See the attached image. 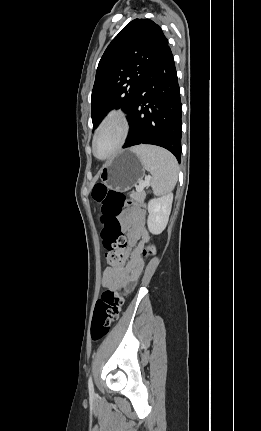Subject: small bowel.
I'll return each mask as SVG.
<instances>
[{"label":"small bowel","instance_id":"small-bowel-1","mask_svg":"<svg viewBox=\"0 0 261 431\" xmlns=\"http://www.w3.org/2000/svg\"><path fill=\"white\" fill-rule=\"evenodd\" d=\"M144 211L138 207L125 210L120 223L127 231L128 248L126 256L129 260L118 266H108L102 274V285L111 290H118L127 285H134L143 271V249L149 241V234L144 225ZM137 247L132 250V247Z\"/></svg>","mask_w":261,"mask_h":431}]
</instances>
